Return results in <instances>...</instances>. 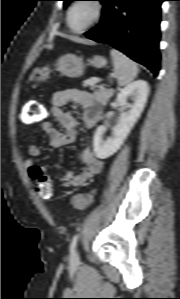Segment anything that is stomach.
<instances>
[{
	"instance_id": "obj_1",
	"label": "stomach",
	"mask_w": 180,
	"mask_h": 299,
	"mask_svg": "<svg viewBox=\"0 0 180 299\" xmlns=\"http://www.w3.org/2000/svg\"><path fill=\"white\" fill-rule=\"evenodd\" d=\"M106 63V59L98 55L90 60V64L96 68H102ZM56 67L65 76L79 77L84 73L85 64L82 57L75 54H65L57 60ZM49 72L48 68L35 67L29 75V81L36 84L42 83L48 79Z\"/></svg>"
}]
</instances>
